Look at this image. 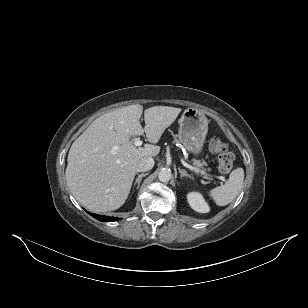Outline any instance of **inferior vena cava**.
Listing matches in <instances>:
<instances>
[{
  "mask_svg": "<svg viewBox=\"0 0 308 308\" xmlns=\"http://www.w3.org/2000/svg\"><path fill=\"white\" fill-rule=\"evenodd\" d=\"M154 159L152 157H143L139 160L137 164V171L146 172L153 168Z\"/></svg>",
  "mask_w": 308,
  "mask_h": 308,
  "instance_id": "inferior-vena-cava-1",
  "label": "inferior vena cava"
}]
</instances>
